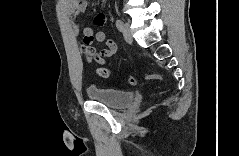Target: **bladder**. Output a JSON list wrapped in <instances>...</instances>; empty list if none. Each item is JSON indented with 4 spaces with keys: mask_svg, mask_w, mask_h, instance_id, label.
Segmentation results:
<instances>
[{
    "mask_svg": "<svg viewBox=\"0 0 239 156\" xmlns=\"http://www.w3.org/2000/svg\"><path fill=\"white\" fill-rule=\"evenodd\" d=\"M86 94L90 100L102 103L114 110L127 108L135 98L134 91L104 87H88Z\"/></svg>",
    "mask_w": 239,
    "mask_h": 156,
    "instance_id": "obj_1",
    "label": "bladder"
}]
</instances>
